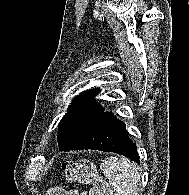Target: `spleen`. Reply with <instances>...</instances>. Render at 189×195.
Returning <instances> with one entry per match:
<instances>
[{
	"label": "spleen",
	"mask_w": 189,
	"mask_h": 195,
	"mask_svg": "<svg viewBox=\"0 0 189 195\" xmlns=\"http://www.w3.org/2000/svg\"><path fill=\"white\" fill-rule=\"evenodd\" d=\"M100 168L109 180L114 195H138L140 173L136 165L125 157H109Z\"/></svg>",
	"instance_id": "obj_1"
}]
</instances>
